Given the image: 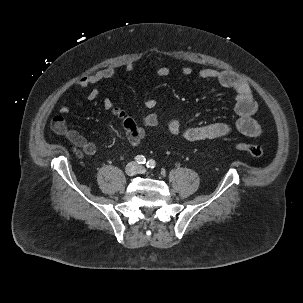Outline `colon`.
Instances as JSON below:
<instances>
[{"instance_id":"5ec220e1","label":"colon","mask_w":303,"mask_h":303,"mask_svg":"<svg viewBox=\"0 0 303 303\" xmlns=\"http://www.w3.org/2000/svg\"><path fill=\"white\" fill-rule=\"evenodd\" d=\"M236 148L247 152L253 157H261L264 154V150L260 145L245 143V142H238L236 143Z\"/></svg>"}]
</instances>
